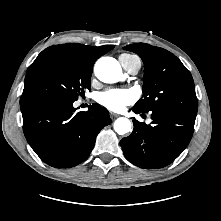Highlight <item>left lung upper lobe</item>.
Instances as JSON below:
<instances>
[{
	"label": "left lung upper lobe",
	"instance_id": "obj_1",
	"mask_svg": "<svg viewBox=\"0 0 221 221\" xmlns=\"http://www.w3.org/2000/svg\"><path fill=\"white\" fill-rule=\"evenodd\" d=\"M138 54L144 63V98L134 109L147 113L159 109H173L197 114L198 100L191 73L171 52L146 43L124 47Z\"/></svg>",
	"mask_w": 221,
	"mask_h": 221
}]
</instances>
